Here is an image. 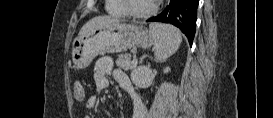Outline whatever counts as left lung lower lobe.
<instances>
[{"label":"left lung lower lobe","mask_w":273,"mask_h":118,"mask_svg":"<svg viewBox=\"0 0 273 118\" xmlns=\"http://www.w3.org/2000/svg\"><path fill=\"white\" fill-rule=\"evenodd\" d=\"M199 0H170L168 6L159 15L147 22L170 23L178 27L188 38L192 46L196 30V15Z\"/></svg>","instance_id":"1"}]
</instances>
